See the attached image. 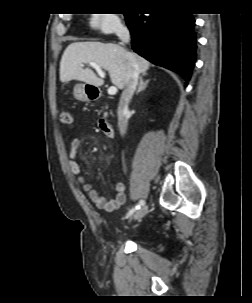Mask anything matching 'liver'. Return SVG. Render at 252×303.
<instances>
[{"instance_id": "1", "label": "liver", "mask_w": 252, "mask_h": 303, "mask_svg": "<svg viewBox=\"0 0 252 303\" xmlns=\"http://www.w3.org/2000/svg\"><path fill=\"white\" fill-rule=\"evenodd\" d=\"M127 54L137 63L139 72L146 73L150 63L141 56L126 51L123 47L112 43L100 42H74L64 51L60 61V81L67 83L71 80L86 82L99 87L103 80L83 64L94 62L108 71L111 82L119 89L126 84Z\"/></svg>"}]
</instances>
